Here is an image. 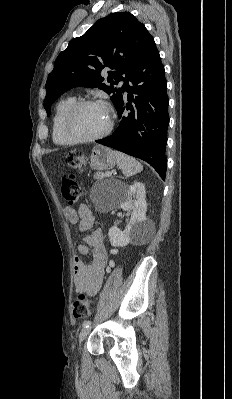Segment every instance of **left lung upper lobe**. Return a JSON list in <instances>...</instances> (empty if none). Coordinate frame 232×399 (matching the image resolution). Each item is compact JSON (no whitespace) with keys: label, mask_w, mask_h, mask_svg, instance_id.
I'll return each mask as SVG.
<instances>
[{"label":"left lung upper lobe","mask_w":232,"mask_h":399,"mask_svg":"<svg viewBox=\"0 0 232 399\" xmlns=\"http://www.w3.org/2000/svg\"><path fill=\"white\" fill-rule=\"evenodd\" d=\"M153 39L145 26L129 12L111 13L99 19L83 36L69 42L55 60L49 74L44 108L50 116L51 104L73 87H98L108 94L117 108L123 99L122 88L147 43ZM109 68L106 85L101 71ZM125 74V78L122 77Z\"/></svg>","instance_id":"left-lung-upper-lobe-1"}]
</instances>
